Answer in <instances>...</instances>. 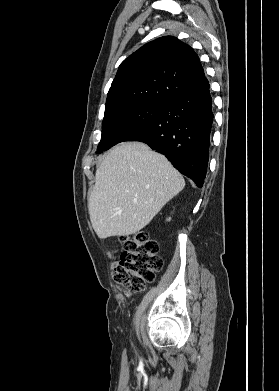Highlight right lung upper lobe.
<instances>
[{"label": "right lung upper lobe", "instance_id": "1", "mask_svg": "<svg viewBox=\"0 0 279 391\" xmlns=\"http://www.w3.org/2000/svg\"><path fill=\"white\" fill-rule=\"evenodd\" d=\"M205 78L198 55L175 37L149 42L119 66L108 92L105 113L136 103H162Z\"/></svg>", "mask_w": 279, "mask_h": 391}]
</instances>
